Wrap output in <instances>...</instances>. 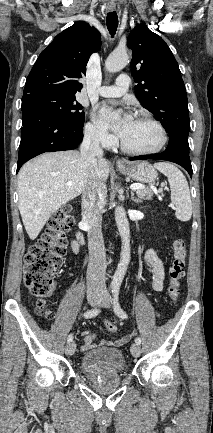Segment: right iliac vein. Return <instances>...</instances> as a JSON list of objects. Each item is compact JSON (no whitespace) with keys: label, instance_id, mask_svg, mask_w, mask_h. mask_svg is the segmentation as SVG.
Listing matches in <instances>:
<instances>
[{"label":"right iliac vein","instance_id":"1","mask_svg":"<svg viewBox=\"0 0 213 433\" xmlns=\"http://www.w3.org/2000/svg\"><path fill=\"white\" fill-rule=\"evenodd\" d=\"M87 299L90 305L95 306L100 303L101 295L97 293H91L87 296ZM75 350H76V345L74 342L67 344L65 347V353L67 356H72L75 353Z\"/></svg>","mask_w":213,"mask_h":433}]
</instances>
